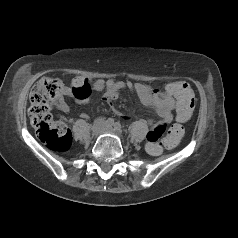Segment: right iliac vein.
<instances>
[{
  "label": "right iliac vein",
  "mask_w": 238,
  "mask_h": 238,
  "mask_svg": "<svg viewBox=\"0 0 238 238\" xmlns=\"http://www.w3.org/2000/svg\"><path fill=\"white\" fill-rule=\"evenodd\" d=\"M103 129V123L102 122H96L92 127V135L97 136L101 133Z\"/></svg>",
  "instance_id": "1"
}]
</instances>
